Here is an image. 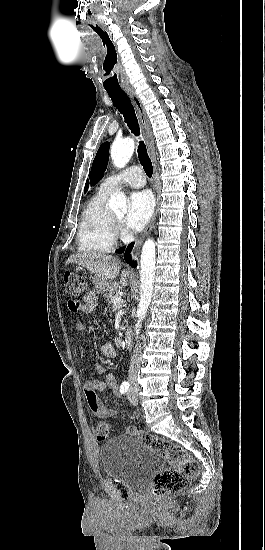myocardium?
<instances>
[{
    "instance_id": "1",
    "label": "myocardium",
    "mask_w": 265,
    "mask_h": 550,
    "mask_svg": "<svg viewBox=\"0 0 265 550\" xmlns=\"http://www.w3.org/2000/svg\"><path fill=\"white\" fill-rule=\"evenodd\" d=\"M112 222L115 235L122 231V220L112 213Z\"/></svg>"
}]
</instances>
